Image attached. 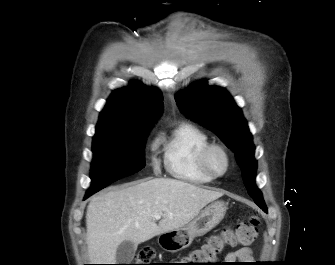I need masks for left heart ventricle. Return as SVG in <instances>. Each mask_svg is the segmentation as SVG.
I'll return each mask as SVG.
<instances>
[{
  "instance_id": "obj_1",
  "label": "left heart ventricle",
  "mask_w": 335,
  "mask_h": 265,
  "mask_svg": "<svg viewBox=\"0 0 335 265\" xmlns=\"http://www.w3.org/2000/svg\"><path fill=\"white\" fill-rule=\"evenodd\" d=\"M211 165L217 172H221L225 168V158L220 152H214L211 156Z\"/></svg>"
}]
</instances>
